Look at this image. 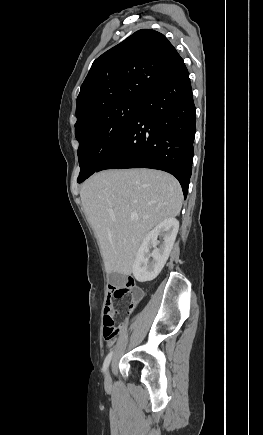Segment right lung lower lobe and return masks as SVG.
<instances>
[{
  "mask_svg": "<svg viewBox=\"0 0 263 435\" xmlns=\"http://www.w3.org/2000/svg\"><path fill=\"white\" fill-rule=\"evenodd\" d=\"M195 105L184 65L142 102L130 125L99 166L152 168L174 175L186 199L194 155Z\"/></svg>",
  "mask_w": 263,
  "mask_h": 435,
  "instance_id": "1",
  "label": "right lung lower lobe"
}]
</instances>
